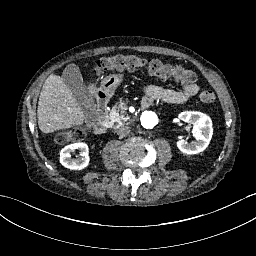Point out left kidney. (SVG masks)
Wrapping results in <instances>:
<instances>
[{
    "instance_id": "1",
    "label": "left kidney",
    "mask_w": 256,
    "mask_h": 256,
    "mask_svg": "<svg viewBox=\"0 0 256 256\" xmlns=\"http://www.w3.org/2000/svg\"><path fill=\"white\" fill-rule=\"evenodd\" d=\"M178 118L186 123L193 124L192 133L196 141L188 143L181 139L177 141L178 149L185 154H198L204 151L212 138V120L209 116L198 111H184Z\"/></svg>"
}]
</instances>
